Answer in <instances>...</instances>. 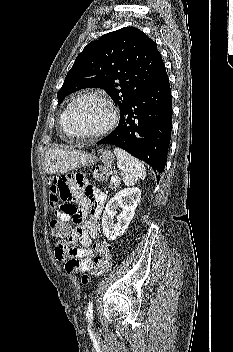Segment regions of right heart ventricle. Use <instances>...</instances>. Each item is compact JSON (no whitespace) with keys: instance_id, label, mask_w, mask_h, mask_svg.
<instances>
[{"instance_id":"1","label":"right heart ventricle","mask_w":233,"mask_h":352,"mask_svg":"<svg viewBox=\"0 0 233 352\" xmlns=\"http://www.w3.org/2000/svg\"><path fill=\"white\" fill-rule=\"evenodd\" d=\"M67 108L68 106L64 109V111L62 112L61 116H60V126L61 129L63 130V132L67 135H69L68 129L66 127V112H67Z\"/></svg>"}]
</instances>
